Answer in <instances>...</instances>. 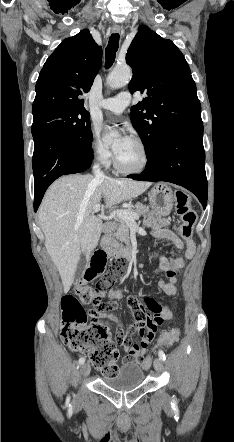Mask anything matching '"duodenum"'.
Segmentation results:
<instances>
[{
	"label": "duodenum",
	"instance_id": "obj_1",
	"mask_svg": "<svg viewBox=\"0 0 234 442\" xmlns=\"http://www.w3.org/2000/svg\"><path fill=\"white\" fill-rule=\"evenodd\" d=\"M115 230V225L113 223H106L103 226V233L106 239L110 238ZM105 247L107 249V253L112 256L115 260H125L131 261L135 257V250L132 247H122L118 248L111 245L108 242H105ZM104 253L103 251H101Z\"/></svg>",
	"mask_w": 234,
	"mask_h": 442
}]
</instances>
